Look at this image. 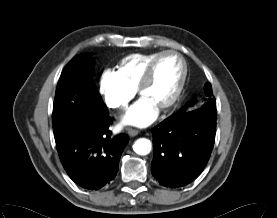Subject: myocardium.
Segmentation results:
<instances>
[{
	"label": "myocardium",
	"mask_w": 277,
	"mask_h": 218,
	"mask_svg": "<svg viewBox=\"0 0 277 218\" xmlns=\"http://www.w3.org/2000/svg\"><path fill=\"white\" fill-rule=\"evenodd\" d=\"M167 55H174L180 60V62L182 64V73H181V77H180L178 86L176 87L171 98L166 103H164L161 107H159L161 110H165V109L172 107L179 100V98L182 94V91L185 87V83H186L187 75H188V65H187V62H186V59L184 58V56L181 53L174 51V50H165V51L159 52L148 64V66L144 72V75L138 85V92L140 94H142L143 90L149 85V83L151 82V80L154 76L156 65L158 64L160 59H162L163 57H165Z\"/></svg>",
	"instance_id": "1"
}]
</instances>
